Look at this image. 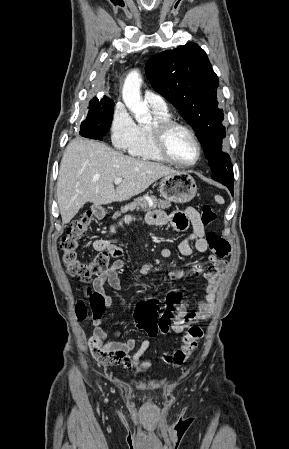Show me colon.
I'll use <instances>...</instances> for the list:
<instances>
[{"label":"colon","mask_w":289,"mask_h":449,"mask_svg":"<svg viewBox=\"0 0 289 449\" xmlns=\"http://www.w3.org/2000/svg\"><path fill=\"white\" fill-rule=\"evenodd\" d=\"M201 219L205 225H209L216 220V213L209 205L201 208ZM93 220V213L87 211L73 220L65 236L60 241L62 251V261L67 273L80 281H89L94 276H98L110 266V254L106 251H99L89 261H82L78 254L79 240L84 236ZM211 256L225 258L230 254L229 242L215 232L206 235ZM177 296H169V306L176 301ZM88 306L94 317H100L105 310V299L96 292H87V299L80 300L76 305V314L80 320H84L88 315ZM172 309H166L162 314L158 313L156 303L150 302L139 308L135 314L136 325L148 336L155 337L158 334L166 335L172 328ZM203 337V329L198 325H192L182 338V346L171 355L174 365L183 364L197 347L198 341Z\"/></svg>","instance_id":"1"}]
</instances>
